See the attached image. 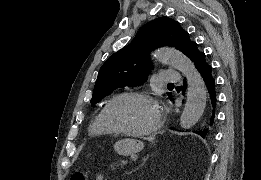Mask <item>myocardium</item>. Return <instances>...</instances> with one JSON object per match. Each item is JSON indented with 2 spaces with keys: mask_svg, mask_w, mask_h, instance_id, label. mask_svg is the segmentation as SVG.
<instances>
[{
  "mask_svg": "<svg viewBox=\"0 0 261 180\" xmlns=\"http://www.w3.org/2000/svg\"><path fill=\"white\" fill-rule=\"evenodd\" d=\"M125 97H141V98H145L148 99L150 101H152L155 106H156V115H155V121L154 124L151 128V130L147 133L144 134H124L121 133L119 131H117L113 125L111 124V122L109 121L108 117H107V111L108 109L114 105L117 101H119L122 98ZM102 120H103V124L105 126V128L116 138H122V139H130V140H150L153 137H155L161 126L163 123V117H164V113H163V109H162V102L159 99V97L151 92L145 91V90H127V91H123L120 92L116 95H114L102 108Z\"/></svg>",
  "mask_w": 261,
  "mask_h": 180,
  "instance_id": "f54148a6",
  "label": "myocardium"
}]
</instances>
